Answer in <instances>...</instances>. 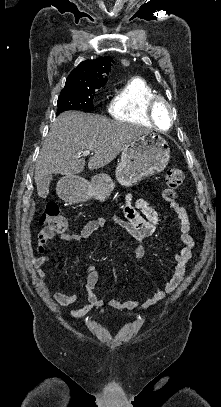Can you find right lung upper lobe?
I'll use <instances>...</instances> for the list:
<instances>
[{
	"label": "right lung upper lobe",
	"instance_id": "obj_1",
	"mask_svg": "<svg viewBox=\"0 0 221 407\" xmlns=\"http://www.w3.org/2000/svg\"><path fill=\"white\" fill-rule=\"evenodd\" d=\"M112 58L105 56L81 62L68 76L63 90L98 89L107 82Z\"/></svg>",
	"mask_w": 221,
	"mask_h": 407
}]
</instances>
